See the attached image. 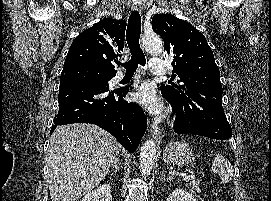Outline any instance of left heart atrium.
<instances>
[{
    "label": "left heart atrium",
    "mask_w": 271,
    "mask_h": 201,
    "mask_svg": "<svg viewBox=\"0 0 271 201\" xmlns=\"http://www.w3.org/2000/svg\"><path fill=\"white\" fill-rule=\"evenodd\" d=\"M135 100L145 107L150 113L157 114L162 111V103L150 85H143L135 94Z\"/></svg>",
    "instance_id": "1"
}]
</instances>
